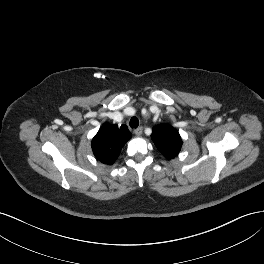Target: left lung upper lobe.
Instances as JSON below:
<instances>
[{
  "label": "left lung upper lobe",
  "instance_id": "1",
  "mask_svg": "<svg viewBox=\"0 0 264 264\" xmlns=\"http://www.w3.org/2000/svg\"><path fill=\"white\" fill-rule=\"evenodd\" d=\"M157 149L167 159H172L178 155L181 150V137L173 127L166 124H160L153 128L151 135Z\"/></svg>",
  "mask_w": 264,
  "mask_h": 264
}]
</instances>
